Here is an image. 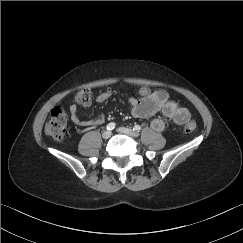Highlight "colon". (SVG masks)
<instances>
[{
    "label": "colon",
    "mask_w": 243,
    "mask_h": 243,
    "mask_svg": "<svg viewBox=\"0 0 243 243\" xmlns=\"http://www.w3.org/2000/svg\"><path fill=\"white\" fill-rule=\"evenodd\" d=\"M74 100L80 105H88L91 102V91L88 88L79 90ZM197 128L196 122L188 120L184 124V132L187 134L193 133ZM45 133L56 140L64 139L67 132V116L61 107H55L48 121L45 124Z\"/></svg>",
    "instance_id": "1"
}]
</instances>
